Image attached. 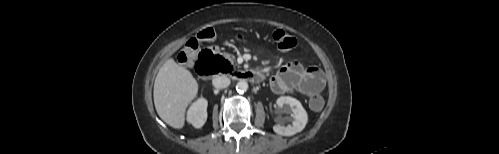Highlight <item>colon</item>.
I'll list each match as a JSON object with an SVG mask.
<instances>
[{"label":"colon","instance_id":"obj_1","mask_svg":"<svg viewBox=\"0 0 499 154\" xmlns=\"http://www.w3.org/2000/svg\"><path fill=\"white\" fill-rule=\"evenodd\" d=\"M213 36L214 32L210 28L204 29L197 33L185 43L178 55V60L183 64H191L194 60L195 50L197 49L199 42L209 40ZM272 39L276 46L285 52L292 51L297 43L294 37L283 30L274 31ZM214 66L217 71L230 70V63L220 56L215 57ZM309 106L313 111H320L324 106V100L318 94L313 95L309 100Z\"/></svg>","mask_w":499,"mask_h":154}]
</instances>
